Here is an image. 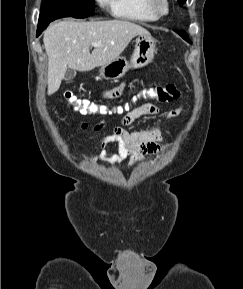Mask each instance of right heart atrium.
<instances>
[{
  "instance_id": "1",
  "label": "right heart atrium",
  "mask_w": 243,
  "mask_h": 289,
  "mask_svg": "<svg viewBox=\"0 0 243 289\" xmlns=\"http://www.w3.org/2000/svg\"><path fill=\"white\" fill-rule=\"evenodd\" d=\"M96 2L102 7H107L109 6L110 0H96Z\"/></svg>"
}]
</instances>
